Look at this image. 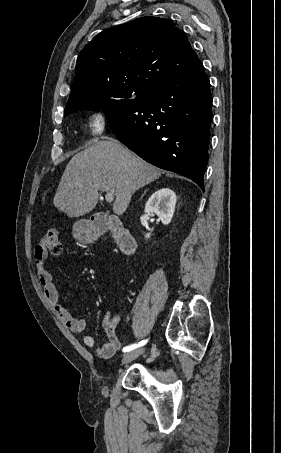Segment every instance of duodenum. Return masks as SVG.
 <instances>
[{
    "label": "duodenum",
    "mask_w": 281,
    "mask_h": 453,
    "mask_svg": "<svg viewBox=\"0 0 281 453\" xmlns=\"http://www.w3.org/2000/svg\"><path fill=\"white\" fill-rule=\"evenodd\" d=\"M106 232L111 233L122 253L130 255L135 252V238L120 220L110 217L94 218L90 225V235L92 238H97Z\"/></svg>",
    "instance_id": "1"
}]
</instances>
